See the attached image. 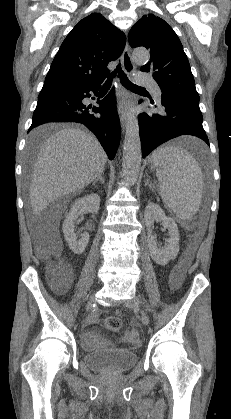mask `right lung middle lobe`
Masks as SVG:
<instances>
[{"label":"right lung middle lobe","instance_id":"1","mask_svg":"<svg viewBox=\"0 0 231 419\" xmlns=\"http://www.w3.org/2000/svg\"><path fill=\"white\" fill-rule=\"evenodd\" d=\"M75 89L65 86H47L43 87L41 92L39 93L38 99H43L45 97L60 95V94H67L73 92ZM38 139L33 140L32 144L36 143Z\"/></svg>","mask_w":231,"mask_h":419}]
</instances>
